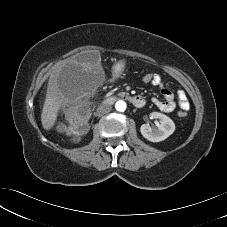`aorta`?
I'll return each instance as SVG.
<instances>
[{
    "instance_id": "762f6f07",
    "label": "aorta",
    "mask_w": 227,
    "mask_h": 227,
    "mask_svg": "<svg viewBox=\"0 0 227 227\" xmlns=\"http://www.w3.org/2000/svg\"><path fill=\"white\" fill-rule=\"evenodd\" d=\"M127 108V104L126 102H124L123 100H118L116 103H115V109L118 111V112H124Z\"/></svg>"
}]
</instances>
